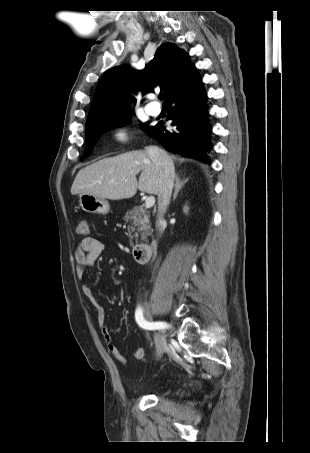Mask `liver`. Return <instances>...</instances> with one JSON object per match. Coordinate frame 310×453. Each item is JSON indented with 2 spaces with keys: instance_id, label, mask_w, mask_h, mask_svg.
<instances>
[{
  "instance_id": "1",
  "label": "liver",
  "mask_w": 310,
  "mask_h": 453,
  "mask_svg": "<svg viewBox=\"0 0 310 453\" xmlns=\"http://www.w3.org/2000/svg\"><path fill=\"white\" fill-rule=\"evenodd\" d=\"M140 173L137 181L136 175ZM160 169L147 152L131 151L115 157L104 158L76 175L71 194H90L103 199L132 198L137 189L148 194H159Z\"/></svg>"
}]
</instances>
